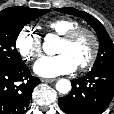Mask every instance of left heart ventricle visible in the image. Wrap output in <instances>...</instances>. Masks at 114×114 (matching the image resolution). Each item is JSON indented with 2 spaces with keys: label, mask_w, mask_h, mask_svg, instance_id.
I'll list each match as a JSON object with an SVG mask.
<instances>
[{
  "label": "left heart ventricle",
  "mask_w": 114,
  "mask_h": 114,
  "mask_svg": "<svg viewBox=\"0 0 114 114\" xmlns=\"http://www.w3.org/2000/svg\"><path fill=\"white\" fill-rule=\"evenodd\" d=\"M91 50L92 42L90 38L87 35H82L73 43H67L61 40L57 48V53L69 54L78 66L88 58Z\"/></svg>",
  "instance_id": "left-heart-ventricle-1"
}]
</instances>
